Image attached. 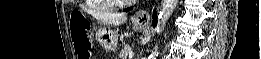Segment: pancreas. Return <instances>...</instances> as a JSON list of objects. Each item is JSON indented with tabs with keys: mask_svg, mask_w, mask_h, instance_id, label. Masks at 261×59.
I'll list each match as a JSON object with an SVG mask.
<instances>
[{
	"mask_svg": "<svg viewBox=\"0 0 261 59\" xmlns=\"http://www.w3.org/2000/svg\"><path fill=\"white\" fill-rule=\"evenodd\" d=\"M132 49L129 45H125L121 51L119 52V58L120 59H127L129 52H131Z\"/></svg>",
	"mask_w": 261,
	"mask_h": 59,
	"instance_id": "1",
	"label": "pancreas"
}]
</instances>
